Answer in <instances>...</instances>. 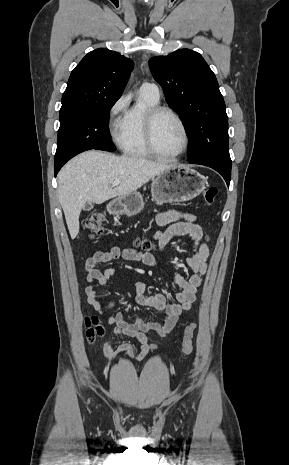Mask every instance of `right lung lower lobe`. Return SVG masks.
<instances>
[{"label": "right lung lower lobe", "mask_w": 289, "mask_h": 465, "mask_svg": "<svg viewBox=\"0 0 289 465\" xmlns=\"http://www.w3.org/2000/svg\"><path fill=\"white\" fill-rule=\"evenodd\" d=\"M68 160H63L59 162H54V173L55 176L57 175L58 171L61 169V167L67 162Z\"/></svg>", "instance_id": "98d812e1"}]
</instances>
